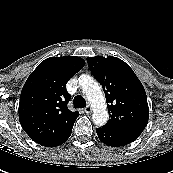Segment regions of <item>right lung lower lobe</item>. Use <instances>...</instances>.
<instances>
[{
	"label": "right lung lower lobe",
	"instance_id": "obj_1",
	"mask_svg": "<svg viewBox=\"0 0 173 173\" xmlns=\"http://www.w3.org/2000/svg\"><path fill=\"white\" fill-rule=\"evenodd\" d=\"M73 125H74V123L72 124V126L68 127L60 136L56 137L53 140L45 142L41 145L47 146V147H55V146H59V145L63 144L70 137Z\"/></svg>",
	"mask_w": 173,
	"mask_h": 173
}]
</instances>
